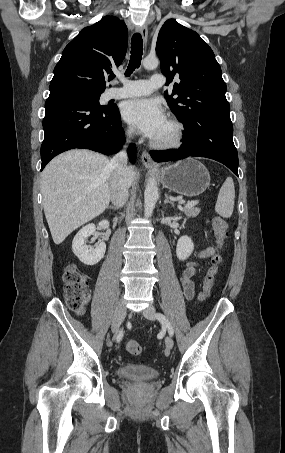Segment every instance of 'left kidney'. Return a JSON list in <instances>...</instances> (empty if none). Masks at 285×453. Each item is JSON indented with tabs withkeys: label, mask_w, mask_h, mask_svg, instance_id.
<instances>
[{
	"label": "left kidney",
	"mask_w": 285,
	"mask_h": 453,
	"mask_svg": "<svg viewBox=\"0 0 285 453\" xmlns=\"http://www.w3.org/2000/svg\"><path fill=\"white\" fill-rule=\"evenodd\" d=\"M193 250L194 244L190 237L182 236L179 238L176 246V255L179 260H186L192 254Z\"/></svg>",
	"instance_id": "left-kidney-1"
}]
</instances>
